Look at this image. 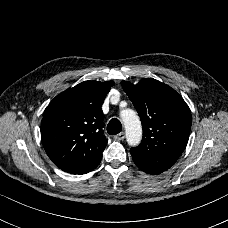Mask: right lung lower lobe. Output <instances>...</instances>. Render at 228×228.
Instances as JSON below:
<instances>
[{
  "label": "right lung lower lobe",
  "mask_w": 228,
  "mask_h": 228,
  "mask_svg": "<svg viewBox=\"0 0 228 228\" xmlns=\"http://www.w3.org/2000/svg\"><path fill=\"white\" fill-rule=\"evenodd\" d=\"M101 159L102 158H100L97 161L93 162L88 167H86V168H84V169H82V170H80V171H78L76 173H72V174H79L80 175V174H85V173H88V172L92 171L93 169H95L99 165Z\"/></svg>",
  "instance_id": "1"
}]
</instances>
